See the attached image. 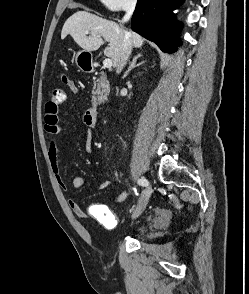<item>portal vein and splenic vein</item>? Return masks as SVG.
<instances>
[{
  "label": "portal vein and splenic vein",
  "instance_id": "portal-vein-and-splenic-vein-1",
  "mask_svg": "<svg viewBox=\"0 0 249 294\" xmlns=\"http://www.w3.org/2000/svg\"><path fill=\"white\" fill-rule=\"evenodd\" d=\"M88 33V32H86ZM103 65L104 67H107V68H110L112 66V60L109 59V58H106L104 61H103Z\"/></svg>",
  "mask_w": 249,
  "mask_h": 294
}]
</instances>
